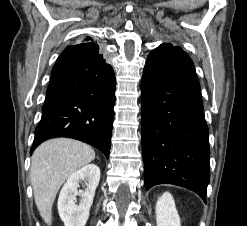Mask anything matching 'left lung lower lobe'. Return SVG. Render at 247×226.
<instances>
[{
	"label": "left lung lower lobe",
	"mask_w": 247,
	"mask_h": 226,
	"mask_svg": "<svg viewBox=\"0 0 247 226\" xmlns=\"http://www.w3.org/2000/svg\"><path fill=\"white\" fill-rule=\"evenodd\" d=\"M141 132L146 189L174 184L206 202L209 132L192 60L179 47L151 51L141 81Z\"/></svg>",
	"instance_id": "left-lung-lower-lobe-1"
}]
</instances>
